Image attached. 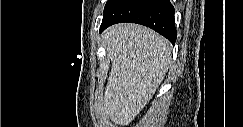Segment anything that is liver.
Here are the masks:
<instances>
[{
  "instance_id": "obj_1",
  "label": "liver",
  "mask_w": 243,
  "mask_h": 127,
  "mask_svg": "<svg viewBox=\"0 0 243 127\" xmlns=\"http://www.w3.org/2000/svg\"><path fill=\"white\" fill-rule=\"evenodd\" d=\"M112 65L103 98L107 116L128 125L149 103L171 64L172 46L153 30L117 24L103 34Z\"/></svg>"
}]
</instances>
